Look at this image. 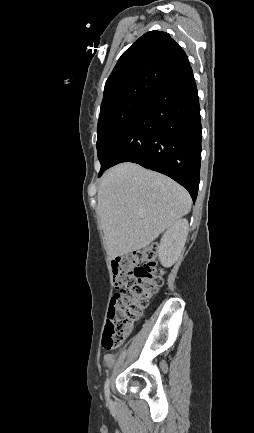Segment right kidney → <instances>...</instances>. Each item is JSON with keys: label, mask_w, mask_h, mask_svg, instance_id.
I'll return each instance as SVG.
<instances>
[{"label": "right kidney", "mask_w": 254, "mask_h": 433, "mask_svg": "<svg viewBox=\"0 0 254 433\" xmlns=\"http://www.w3.org/2000/svg\"><path fill=\"white\" fill-rule=\"evenodd\" d=\"M187 219L176 221L162 236L158 256L164 267L172 266L181 254L188 235Z\"/></svg>", "instance_id": "right-kidney-1"}]
</instances>
